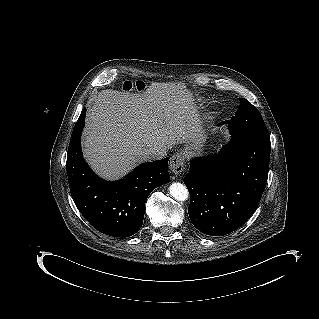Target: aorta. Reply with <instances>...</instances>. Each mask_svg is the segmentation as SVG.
I'll return each instance as SVG.
<instances>
[{
  "mask_svg": "<svg viewBox=\"0 0 319 319\" xmlns=\"http://www.w3.org/2000/svg\"><path fill=\"white\" fill-rule=\"evenodd\" d=\"M170 195L177 201H185L189 197L188 189L185 185L175 182L169 187Z\"/></svg>",
  "mask_w": 319,
  "mask_h": 319,
  "instance_id": "1",
  "label": "aorta"
}]
</instances>
